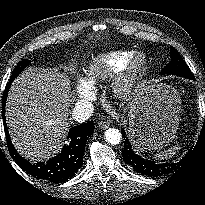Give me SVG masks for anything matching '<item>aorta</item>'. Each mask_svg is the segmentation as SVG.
<instances>
[{
    "instance_id": "obj_1",
    "label": "aorta",
    "mask_w": 205,
    "mask_h": 205,
    "mask_svg": "<svg viewBox=\"0 0 205 205\" xmlns=\"http://www.w3.org/2000/svg\"><path fill=\"white\" fill-rule=\"evenodd\" d=\"M106 141L112 145H117L121 142V133L118 129L110 128L105 132Z\"/></svg>"
}]
</instances>
